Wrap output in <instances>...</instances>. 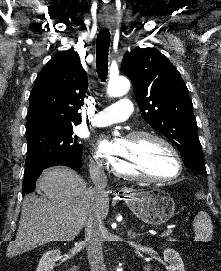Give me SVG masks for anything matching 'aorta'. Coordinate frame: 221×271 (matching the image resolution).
<instances>
[{"mask_svg": "<svg viewBox=\"0 0 221 271\" xmlns=\"http://www.w3.org/2000/svg\"><path fill=\"white\" fill-rule=\"evenodd\" d=\"M130 89V82L125 77H118L110 80L107 86V94L110 97H119L125 95ZM117 271H123L121 268H117Z\"/></svg>", "mask_w": 221, "mask_h": 271, "instance_id": "aorta-1", "label": "aorta"}]
</instances>
